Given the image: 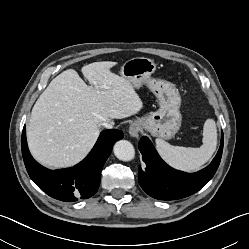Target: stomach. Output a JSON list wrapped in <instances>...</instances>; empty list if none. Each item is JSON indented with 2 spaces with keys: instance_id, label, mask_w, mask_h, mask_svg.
<instances>
[{
  "instance_id": "1",
  "label": "stomach",
  "mask_w": 249,
  "mask_h": 249,
  "mask_svg": "<svg viewBox=\"0 0 249 249\" xmlns=\"http://www.w3.org/2000/svg\"><path fill=\"white\" fill-rule=\"evenodd\" d=\"M156 71V64L152 59L136 57L126 61L121 67V75L133 87L146 85L157 97L159 109L145 117L138 118L135 123L141 129L161 139H171L179 131L182 115L179 111L181 97L175 86L161 79H154L151 75Z\"/></svg>"
}]
</instances>
